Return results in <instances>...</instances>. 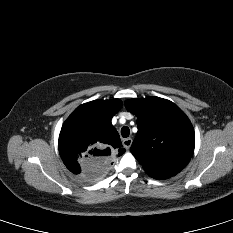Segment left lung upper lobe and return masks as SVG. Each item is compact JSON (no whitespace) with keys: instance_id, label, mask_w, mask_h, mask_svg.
Instances as JSON below:
<instances>
[{"instance_id":"obj_1","label":"left lung upper lobe","mask_w":233,"mask_h":233,"mask_svg":"<svg viewBox=\"0 0 233 233\" xmlns=\"http://www.w3.org/2000/svg\"><path fill=\"white\" fill-rule=\"evenodd\" d=\"M125 106L137 117L138 132L130 151L148 175L161 179L179 173L195 147L194 130L184 112L160 97L129 99Z\"/></svg>"}]
</instances>
